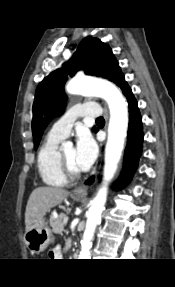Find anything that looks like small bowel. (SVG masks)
<instances>
[{
	"label": "small bowel",
	"instance_id": "1",
	"mask_svg": "<svg viewBox=\"0 0 175 287\" xmlns=\"http://www.w3.org/2000/svg\"><path fill=\"white\" fill-rule=\"evenodd\" d=\"M51 254L54 256V257H61L63 252H62V249L59 247V246H56L54 247L52 250H51Z\"/></svg>",
	"mask_w": 175,
	"mask_h": 287
}]
</instances>
